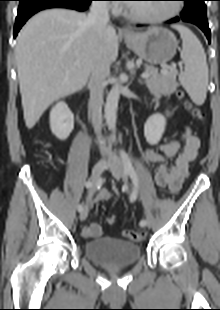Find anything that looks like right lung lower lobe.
<instances>
[{"label": "right lung lower lobe", "instance_id": "right-lung-lower-lobe-1", "mask_svg": "<svg viewBox=\"0 0 220 310\" xmlns=\"http://www.w3.org/2000/svg\"><path fill=\"white\" fill-rule=\"evenodd\" d=\"M20 2L15 21L14 37L35 13L47 8H70L78 11L87 9L92 0H18Z\"/></svg>", "mask_w": 220, "mask_h": 310}]
</instances>
